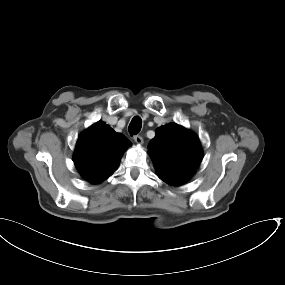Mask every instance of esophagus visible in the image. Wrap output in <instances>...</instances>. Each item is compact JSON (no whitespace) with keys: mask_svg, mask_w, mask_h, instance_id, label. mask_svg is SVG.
I'll return each instance as SVG.
<instances>
[{"mask_svg":"<svg viewBox=\"0 0 285 285\" xmlns=\"http://www.w3.org/2000/svg\"><path fill=\"white\" fill-rule=\"evenodd\" d=\"M133 139H134V141L137 143V144H139V145H141V144H143V138L140 136V135H135L134 137H133Z\"/></svg>","mask_w":285,"mask_h":285,"instance_id":"1","label":"esophagus"}]
</instances>
